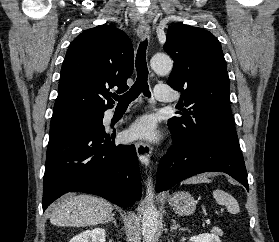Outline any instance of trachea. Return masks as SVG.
<instances>
[{"mask_svg":"<svg viewBox=\"0 0 279 242\" xmlns=\"http://www.w3.org/2000/svg\"><path fill=\"white\" fill-rule=\"evenodd\" d=\"M148 42L144 40L140 43L138 52L136 55V71L137 79L133 86L123 95H113V98L118 101V105H129L134 101L140 93L145 96H150L149 86H148V68L146 63V49Z\"/></svg>","mask_w":279,"mask_h":242,"instance_id":"1","label":"trachea"}]
</instances>
